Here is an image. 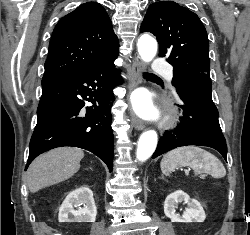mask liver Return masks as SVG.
Here are the masks:
<instances>
[{
	"mask_svg": "<svg viewBox=\"0 0 250 235\" xmlns=\"http://www.w3.org/2000/svg\"><path fill=\"white\" fill-rule=\"evenodd\" d=\"M84 152L79 148L62 147L37 157L29 166L27 185L32 193L69 179L80 169Z\"/></svg>",
	"mask_w": 250,
	"mask_h": 235,
	"instance_id": "6515ba94",
	"label": "liver"
}]
</instances>
